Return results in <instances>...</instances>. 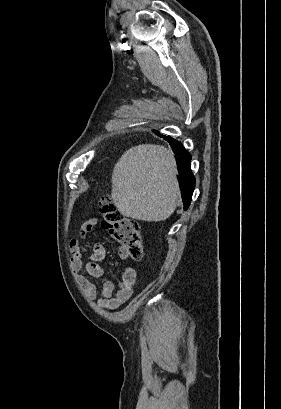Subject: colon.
<instances>
[{
    "instance_id": "obj_1",
    "label": "colon",
    "mask_w": 281,
    "mask_h": 409,
    "mask_svg": "<svg viewBox=\"0 0 281 409\" xmlns=\"http://www.w3.org/2000/svg\"><path fill=\"white\" fill-rule=\"evenodd\" d=\"M99 211L102 228L114 236L128 257L140 260L143 256V242L139 224L107 200L101 202Z\"/></svg>"
}]
</instances>
